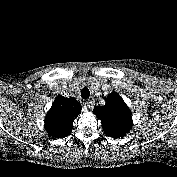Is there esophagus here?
Masks as SVG:
<instances>
[{"mask_svg": "<svg viewBox=\"0 0 177 177\" xmlns=\"http://www.w3.org/2000/svg\"><path fill=\"white\" fill-rule=\"evenodd\" d=\"M94 106V102L92 100H87L85 103H84V107L87 109H91L93 108Z\"/></svg>", "mask_w": 177, "mask_h": 177, "instance_id": "obj_1", "label": "esophagus"}]
</instances>
